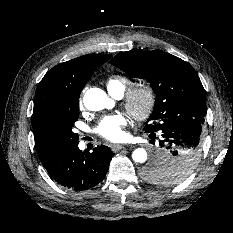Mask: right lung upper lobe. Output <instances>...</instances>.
I'll return each instance as SVG.
<instances>
[{
  "mask_svg": "<svg viewBox=\"0 0 233 233\" xmlns=\"http://www.w3.org/2000/svg\"><path fill=\"white\" fill-rule=\"evenodd\" d=\"M111 57L107 54L84 55L53 67L37 87L32 123L46 109L78 102L89 77Z\"/></svg>",
  "mask_w": 233,
  "mask_h": 233,
  "instance_id": "right-lung-upper-lobe-1",
  "label": "right lung upper lobe"
}]
</instances>
